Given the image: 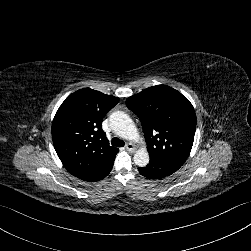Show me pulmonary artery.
Returning <instances> with one entry per match:
<instances>
[{
  "label": "pulmonary artery",
  "mask_w": 251,
  "mask_h": 251,
  "mask_svg": "<svg viewBox=\"0 0 251 251\" xmlns=\"http://www.w3.org/2000/svg\"><path fill=\"white\" fill-rule=\"evenodd\" d=\"M137 135H138V142L140 143V146L147 147L148 141L145 139V131L143 127L137 128Z\"/></svg>",
  "instance_id": "pulmonary-artery-1"
}]
</instances>
